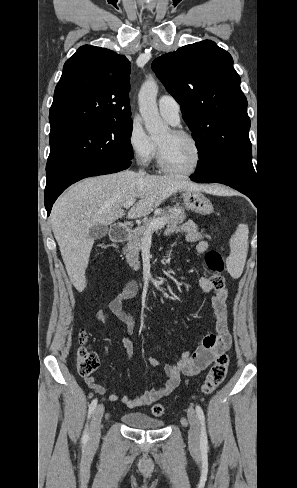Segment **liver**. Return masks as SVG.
<instances>
[{
	"label": "liver",
	"instance_id": "obj_1",
	"mask_svg": "<svg viewBox=\"0 0 297 488\" xmlns=\"http://www.w3.org/2000/svg\"><path fill=\"white\" fill-rule=\"evenodd\" d=\"M181 176L141 175L131 170L85 179L73 185L53 205L50 221L70 281L78 292L86 288L85 271L94 239V224L110 225L125 215L122 206L131 198L139 201L128 218L149 215L180 190L211 191Z\"/></svg>",
	"mask_w": 297,
	"mask_h": 488
}]
</instances>
